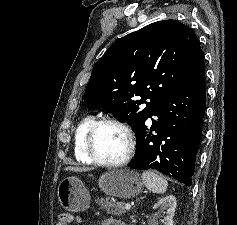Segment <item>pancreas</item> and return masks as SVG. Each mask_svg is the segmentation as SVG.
<instances>
[{
    "label": "pancreas",
    "mask_w": 237,
    "mask_h": 225,
    "mask_svg": "<svg viewBox=\"0 0 237 225\" xmlns=\"http://www.w3.org/2000/svg\"><path fill=\"white\" fill-rule=\"evenodd\" d=\"M96 203L101 209L105 210L108 214H113L117 216H122L125 213L124 203L117 202L114 203L109 198H97Z\"/></svg>",
    "instance_id": "obj_1"
}]
</instances>
